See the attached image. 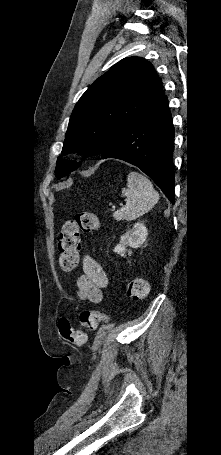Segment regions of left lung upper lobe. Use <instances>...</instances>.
<instances>
[{"label":"left lung upper lobe","mask_w":221,"mask_h":455,"mask_svg":"<svg viewBox=\"0 0 221 455\" xmlns=\"http://www.w3.org/2000/svg\"><path fill=\"white\" fill-rule=\"evenodd\" d=\"M163 95L161 79L150 62L140 57L121 60L99 77L76 104L62 154H101ZM78 166L76 161L59 157L55 175L61 178Z\"/></svg>","instance_id":"1"}]
</instances>
